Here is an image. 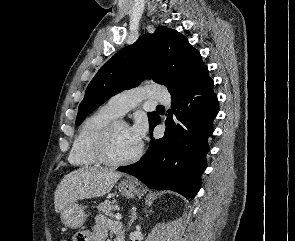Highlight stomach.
I'll list each match as a JSON object with an SVG mask.
<instances>
[{
    "instance_id": "obj_1",
    "label": "stomach",
    "mask_w": 295,
    "mask_h": 241,
    "mask_svg": "<svg viewBox=\"0 0 295 241\" xmlns=\"http://www.w3.org/2000/svg\"><path fill=\"white\" fill-rule=\"evenodd\" d=\"M119 191L126 198H134L143 193L142 188L138 186L135 180H123L119 184ZM62 223L72 229H78L86 221L87 214L84 207L76 202L67 205L60 214Z\"/></svg>"
}]
</instances>
